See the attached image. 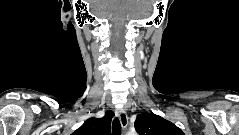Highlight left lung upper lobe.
Wrapping results in <instances>:
<instances>
[{
  "instance_id": "1",
  "label": "left lung upper lobe",
  "mask_w": 239,
  "mask_h": 135,
  "mask_svg": "<svg viewBox=\"0 0 239 135\" xmlns=\"http://www.w3.org/2000/svg\"><path fill=\"white\" fill-rule=\"evenodd\" d=\"M134 126L139 135H185L176 125L153 113L137 115Z\"/></svg>"
}]
</instances>
